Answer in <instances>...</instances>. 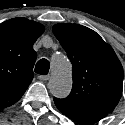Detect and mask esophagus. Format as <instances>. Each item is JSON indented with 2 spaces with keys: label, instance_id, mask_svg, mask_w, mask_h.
I'll use <instances>...</instances> for the list:
<instances>
[{
  "label": "esophagus",
  "instance_id": "esophagus-1",
  "mask_svg": "<svg viewBox=\"0 0 125 125\" xmlns=\"http://www.w3.org/2000/svg\"><path fill=\"white\" fill-rule=\"evenodd\" d=\"M38 78L41 81H48L50 76L49 75H40V76H38Z\"/></svg>",
  "mask_w": 125,
  "mask_h": 125
}]
</instances>
